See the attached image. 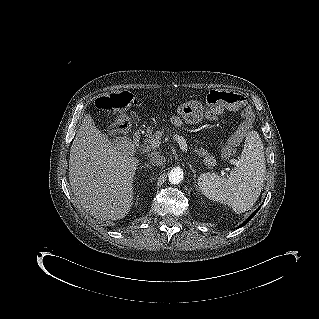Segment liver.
<instances>
[{
  "instance_id": "1",
  "label": "liver",
  "mask_w": 319,
  "mask_h": 319,
  "mask_svg": "<svg viewBox=\"0 0 319 319\" xmlns=\"http://www.w3.org/2000/svg\"><path fill=\"white\" fill-rule=\"evenodd\" d=\"M138 159L120 151L85 115L72 142L71 189L83 209L97 219L124 218L133 204Z\"/></svg>"
}]
</instances>
